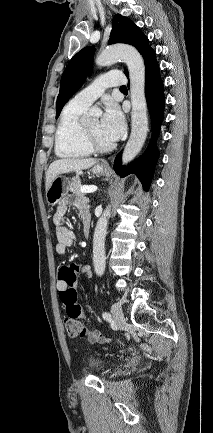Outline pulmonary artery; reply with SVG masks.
I'll return each mask as SVG.
<instances>
[{"label":"pulmonary artery","mask_w":213,"mask_h":433,"mask_svg":"<svg viewBox=\"0 0 213 433\" xmlns=\"http://www.w3.org/2000/svg\"><path fill=\"white\" fill-rule=\"evenodd\" d=\"M126 82L125 76L120 71L107 72L78 92L71 102L87 108L104 93L106 88L123 86Z\"/></svg>","instance_id":"e3ab8cb5"}]
</instances>
